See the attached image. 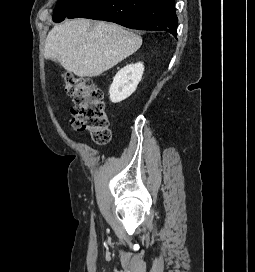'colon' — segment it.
Returning a JSON list of instances; mask_svg holds the SVG:
<instances>
[{"mask_svg": "<svg viewBox=\"0 0 255 272\" xmlns=\"http://www.w3.org/2000/svg\"><path fill=\"white\" fill-rule=\"evenodd\" d=\"M62 79L65 93L73 98L72 127L88 132L97 144L107 143L111 138L110 120L102 91L90 79L70 72L63 73Z\"/></svg>", "mask_w": 255, "mask_h": 272, "instance_id": "1", "label": "colon"}]
</instances>
